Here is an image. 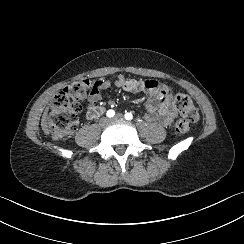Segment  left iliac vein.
<instances>
[{"mask_svg": "<svg viewBox=\"0 0 244 244\" xmlns=\"http://www.w3.org/2000/svg\"><path fill=\"white\" fill-rule=\"evenodd\" d=\"M116 120H123V115L122 114H116V116L114 118L111 119V121H116Z\"/></svg>", "mask_w": 244, "mask_h": 244, "instance_id": "1", "label": "left iliac vein"}]
</instances>
